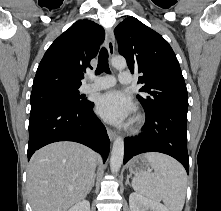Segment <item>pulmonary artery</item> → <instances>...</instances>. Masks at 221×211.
I'll return each mask as SVG.
<instances>
[{
    "mask_svg": "<svg viewBox=\"0 0 221 211\" xmlns=\"http://www.w3.org/2000/svg\"><path fill=\"white\" fill-rule=\"evenodd\" d=\"M89 82L84 83L81 87L83 92H93L112 87L116 80L112 76L94 77L88 76ZM118 81L121 84L127 85L132 83V74L129 71H122L118 76Z\"/></svg>",
    "mask_w": 221,
    "mask_h": 211,
    "instance_id": "obj_1",
    "label": "pulmonary artery"
}]
</instances>
